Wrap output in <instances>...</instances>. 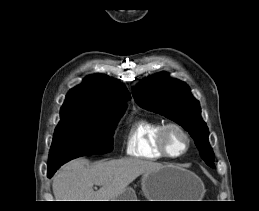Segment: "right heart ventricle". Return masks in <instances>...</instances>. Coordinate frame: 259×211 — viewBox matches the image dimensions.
Returning <instances> with one entry per match:
<instances>
[{
  "label": "right heart ventricle",
  "mask_w": 259,
  "mask_h": 211,
  "mask_svg": "<svg viewBox=\"0 0 259 211\" xmlns=\"http://www.w3.org/2000/svg\"><path fill=\"white\" fill-rule=\"evenodd\" d=\"M163 124L161 120L146 116L134 119L126 132V154L146 160L167 158L158 147V133Z\"/></svg>",
  "instance_id": "1"
}]
</instances>
